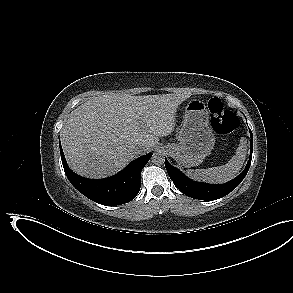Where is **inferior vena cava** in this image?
Wrapping results in <instances>:
<instances>
[{
  "label": "inferior vena cava",
  "mask_w": 293,
  "mask_h": 293,
  "mask_svg": "<svg viewBox=\"0 0 293 293\" xmlns=\"http://www.w3.org/2000/svg\"><path fill=\"white\" fill-rule=\"evenodd\" d=\"M141 146L137 147V149H140Z\"/></svg>",
  "instance_id": "602c4592"
}]
</instances>
